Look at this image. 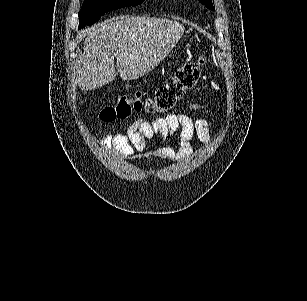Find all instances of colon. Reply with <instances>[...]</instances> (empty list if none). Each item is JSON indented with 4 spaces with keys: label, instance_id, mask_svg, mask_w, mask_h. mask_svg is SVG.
Returning a JSON list of instances; mask_svg holds the SVG:
<instances>
[{
    "label": "colon",
    "instance_id": "colon-1",
    "mask_svg": "<svg viewBox=\"0 0 307 301\" xmlns=\"http://www.w3.org/2000/svg\"><path fill=\"white\" fill-rule=\"evenodd\" d=\"M204 63L205 60L202 57L186 62L160 85L152 96H147L141 91L130 96L119 95L114 104L101 110L100 120L111 122L127 118L134 112L160 113L171 110L188 91L196 86Z\"/></svg>",
    "mask_w": 307,
    "mask_h": 301
}]
</instances>
